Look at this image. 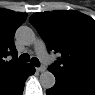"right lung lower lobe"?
I'll return each mask as SVG.
<instances>
[{
	"label": "right lung lower lobe",
	"instance_id": "1",
	"mask_svg": "<svg viewBox=\"0 0 95 95\" xmlns=\"http://www.w3.org/2000/svg\"><path fill=\"white\" fill-rule=\"evenodd\" d=\"M35 72V68L30 65L23 77V79L8 93L4 95H22L23 88H24V83L27 79L28 76L32 75Z\"/></svg>",
	"mask_w": 95,
	"mask_h": 95
}]
</instances>
